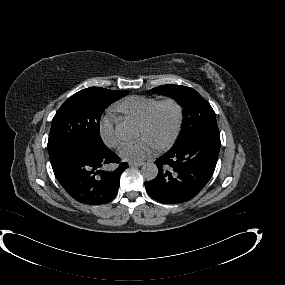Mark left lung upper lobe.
I'll return each mask as SVG.
<instances>
[{"mask_svg": "<svg viewBox=\"0 0 285 285\" xmlns=\"http://www.w3.org/2000/svg\"><path fill=\"white\" fill-rule=\"evenodd\" d=\"M152 92L175 99L183 108L182 129L175 143L182 142L202 130L217 128L214 110L194 89L167 84L153 88Z\"/></svg>", "mask_w": 285, "mask_h": 285, "instance_id": "obj_1", "label": "left lung upper lobe"}]
</instances>
